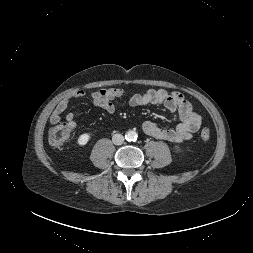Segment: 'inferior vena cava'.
Segmentation results:
<instances>
[{
    "label": "inferior vena cava",
    "instance_id": "602c4592",
    "mask_svg": "<svg viewBox=\"0 0 253 253\" xmlns=\"http://www.w3.org/2000/svg\"><path fill=\"white\" fill-rule=\"evenodd\" d=\"M112 141L115 145H121L124 142V136L122 134H114L112 137Z\"/></svg>",
    "mask_w": 253,
    "mask_h": 253
}]
</instances>
